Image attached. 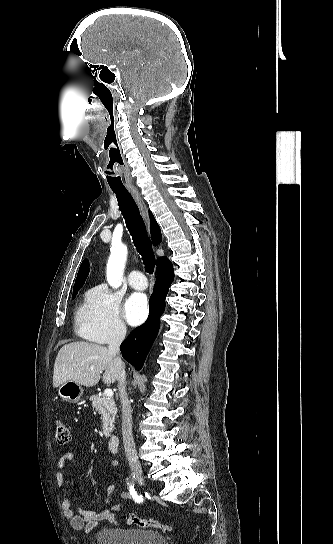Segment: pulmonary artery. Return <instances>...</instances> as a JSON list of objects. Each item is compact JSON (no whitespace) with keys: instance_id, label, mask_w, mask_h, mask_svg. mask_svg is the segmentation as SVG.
Returning a JSON list of instances; mask_svg holds the SVG:
<instances>
[{"instance_id":"pulmonary-artery-1","label":"pulmonary artery","mask_w":333,"mask_h":544,"mask_svg":"<svg viewBox=\"0 0 333 544\" xmlns=\"http://www.w3.org/2000/svg\"><path fill=\"white\" fill-rule=\"evenodd\" d=\"M129 283L134 289L137 290H144L148 286L145 275L140 271H132L129 274Z\"/></svg>"}]
</instances>
